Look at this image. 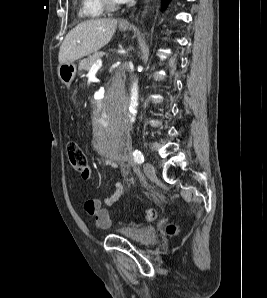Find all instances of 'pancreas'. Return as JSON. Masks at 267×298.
Wrapping results in <instances>:
<instances>
[{
  "label": "pancreas",
  "mask_w": 267,
  "mask_h": 298,
  "mask_svg": "<svg viewBox=\"0 0 267 298\" xmlns=\"http://www.w3.org/2000/svg\"><path fill=\"white\" fill-rule=\"evenodd\" d=\"M104 55L103 52H95L94 54H92L91 56H89L86 59H83L80 63H79V70H89L92 65L94 64L95 61H97L98 59H101V57Z\"/></svg>",
  "instance_id": "cf45deb5"
}]
</instances>
